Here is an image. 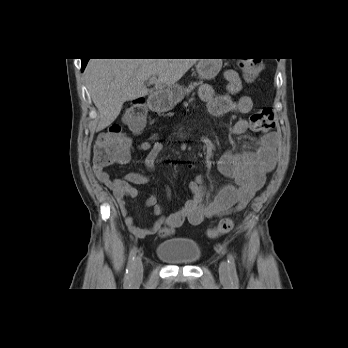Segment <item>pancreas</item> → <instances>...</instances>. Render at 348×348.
I'll list each match as a JSON object with an SVG mask.
<instances>
[{"label":"pancreas","instance_id":"1","mask_svg":"<svg viewBox=\"0 0 348 348\" xmlns=\"http://www.w3.org/2000/svg\"><path fill=\"white\" fill-rule=\"evenodd\" d=\"M200 83L199 82H193L188 85V87L185 89V93L188 95L190 92H192Z\"/></svg>","mask_w":348,"mask_h":348}]
</instances>
